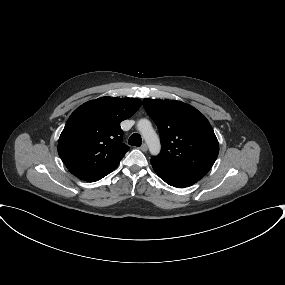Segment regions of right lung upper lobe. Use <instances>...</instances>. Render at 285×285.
Wrapping results in <instances>:
<instances>
[{"mask_svg":"<svg viewBox=\"0 0 285 285\" xmlns=\"http://www.w3.org/2000/svg\"><path fill=\"white\" fill-rule=\"evenodd\" d=\"M142 105L136 98L100 97L78 107L60 135L58 153L76 177L94 182L112 172L129 147L120 122Z\"/></svg>","mask_w":285,"mask_h":285,"instance_id":"right-lung-upper-lobe-1","label":"right lung upper lobe"}]
</instances>
